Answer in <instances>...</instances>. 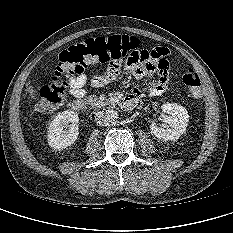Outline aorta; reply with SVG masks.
Segmentation results:
<instances>
[{"label": "aorta", "mask_w": 233, "mask_h": 233, "mask_svg": "<svg viewBox=\"0 0 233 233\" xmlns=\"http://www.w3.org/2000/svg\"><path fill=\"white\" fill-rule=\"evenodd\" d=\"M105 115L108 123H113L118 119V112L115 110H108Z\"/></svg>", "instance_id": "aorta-1"}]
</instances>
